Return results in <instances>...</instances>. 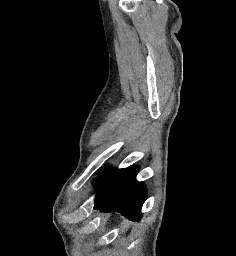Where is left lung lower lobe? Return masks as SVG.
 <instances>
[{
	"label": "left lung lower lobe",
	"mask_w": 236,
	"mask_h": 256,
	"mask_svg": "<svg viewBox=\"0 0 236 256\" xmlns=\"http://www.w3.org/2000/svg\"><path fill=\"white\" fill-rule=\"evenodd\" d=\"M137 173L136 166L113 170L96 188L94 209L119 212L130 220H140V210L147 197V191L143 183L136 181Z\"/></svg>",
	"instance_id": "obj_1"
}]
</instances>
